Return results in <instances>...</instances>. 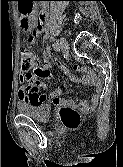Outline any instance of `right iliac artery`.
Wrapping results in <instances>:
<instances>
[{"label":"right iliac artery","mask_w":123,"mask_h":167,"mask_svg":"<svg viewBox=\"0 0 123 167\" xmlns=\"http://www.w3.org/2000/svg\"><path fill=\"white\" fill-rule=\"evenodd\" d=\"M52 47H53V49H54L55 51H59V50H60V45H59L58 43H54V44L52 45Z\"/></svg>","instance_id":"right-iliac-artery-1"}]
</instances>
